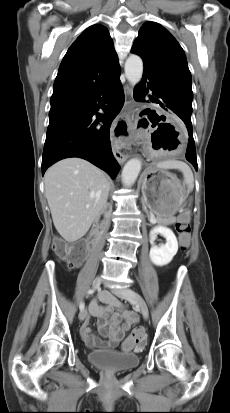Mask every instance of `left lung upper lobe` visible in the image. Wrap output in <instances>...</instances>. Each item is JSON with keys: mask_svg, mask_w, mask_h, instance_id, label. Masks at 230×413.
<instances>
[{"mask_svg": "<svg viewBox=\"0 0 230 413\" xmlns=\"http://www.w3.org/2000/svg\"><path fill=\"white\" fill-rule=\"evenodd\" d=\"M131 52L143 59V75L154 80L160 93L192 113L191 73L182 47L169 31L156 22L144 23Z\"/></svg>", "mask_w": 230, "mask_h": 413, "instance_id": "1", "label": "left lung upper lobe"}]
</instances>
